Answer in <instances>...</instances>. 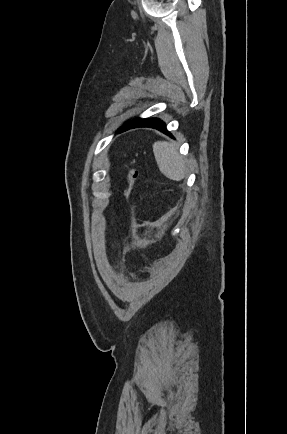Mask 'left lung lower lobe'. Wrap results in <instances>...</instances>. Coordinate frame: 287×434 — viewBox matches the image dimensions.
Wrapping results in <instances>:
<instances>
[{"label": "left lung lower lobe", "instance_id": "left-lung-lower-lobe-1", "mask_svg": "<svg viewBox=\"0 0 287 434\" xmlns=\"http://www.w3.org/2000/svg\"><path fill=\"white\" fill-rule=\"evenodd\" d=\"M138 127H151L155 128L161 132H164L165 134L172 137V135L167 131L166 125L163 121H161L158 118H147V119H141L136 118L132 120L131 122L127 123L119 132H123L132 128H138Z\"/></svg>", "mask_w": 287, "mask_h": 434}]
</instances>
